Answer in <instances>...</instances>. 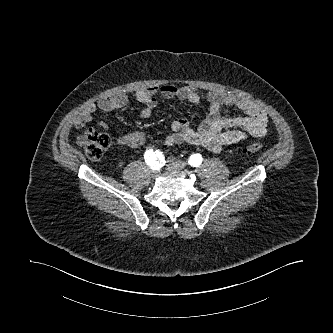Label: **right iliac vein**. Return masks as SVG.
<instances>
[{
  "label": "right iliac vein",
  "mask_w": 333,
  "mask_h": 333,
  "mask_svg": "<svg viewBox=\"0 0 333 333\" xmlns=\"http://www.w3.org/2000/svg\"><path fill=\"white\" fill-rule=\"evenodd\" d=\"M152 173H153V175H156L158 173V170L157 169H153Z\"/></svg>",
  "instance_id": "right-iliac-vein-1"
}]
</instances>
